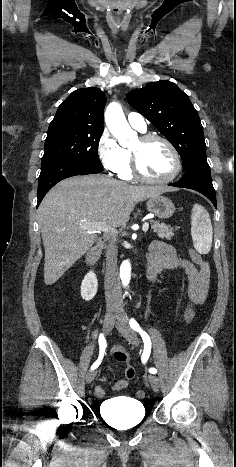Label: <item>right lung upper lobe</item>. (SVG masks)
<instances>
[{
    "mask_svg": "<svg viewBox=\"0 0 236 467\" xmlns=\"http://www.w3.org/2000/svg\"><path fill=\"white\" fill-rule=\"evenodd\" d=\"M105 94L95 87L78 89L63 101L49 128L64 126L103 130Z\"/></svg>",
    "mask_w": 236,
    "mask_h": 467,
    "instance_id": "right-lung-upper-lobe-1",
    "label": "right lung upper lobe"
}]
</instances>
